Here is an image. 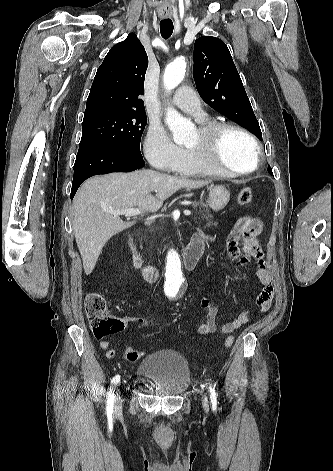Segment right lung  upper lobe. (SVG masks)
<instances>
[{"mask_svg": "<svg viewBox=\"0 0 333 471\" xmlns=\"http://www.w3.org/2000/svg\"><path fill=\"white\" fill-rule=\"evenodd\" d=\"M148 57L137 36L114 45L98 68L84 117L110 111H144V78Z\"/></svg>", "mask_w": 333, "mask_h": 471, "instance_id": "obj_1", "label": "right lung upper lobe"}]
</instances>
